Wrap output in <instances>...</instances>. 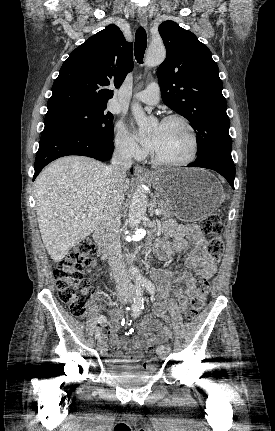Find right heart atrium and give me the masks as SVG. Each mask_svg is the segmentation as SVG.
<instances>
[{"mask_svg": "<svg viewBox=\"0 0 275 431\" xmlns=\"http://www.w3.org/2000/svg\"><path fill=\"white\" fill-rule=\"evenodd\" d=\"M114 144L116 150L124 157L140 158L144 150L139 147L125 124L119 121L115 127Z\"/></svg>", "mask_w": 275, "mask_h": 431, "instance_id": "right-heart-atrium-1", "label": "right heart atrium"}]
</instances>
